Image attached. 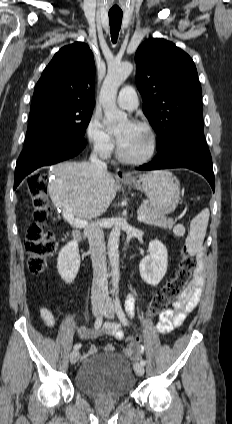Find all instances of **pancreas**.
<instances>
[{"mask_svg": "<svg viewBox=\"0 0 232 424\" xmlns=\"http://www.w3.org/2000/svg\"><path fill=\"white\" fill-rule=\"evenodd\" d=\"M138 213L145 215L143 223L148 225H155L164 229H172L175 221L170 218H167L159 211L152 208L150 204H143L139 207Z\"/></svg>", "mask_w": 232, "mask_h": 424, "instance_id": "pancreas-1", "label": "pancreas"}]
</instances>
